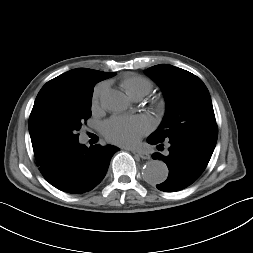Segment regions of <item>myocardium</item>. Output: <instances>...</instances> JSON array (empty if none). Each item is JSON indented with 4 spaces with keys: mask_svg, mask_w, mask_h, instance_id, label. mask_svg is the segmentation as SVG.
<instances>
[{
    "mask_svg": "<svg viewBox=\"0 0 253 253\" xmlns=\"http://www.w3.org/2000/svg\"><path fill=\"white\" fill-rule=\"evenodd\" d=\"M154 104L157 106V107H162L164 105V102L162 99H156L154 101Z\"/></svg>",
    "mask_w": 253,
    "mask_h": 253,
    "instance_id": "f54148a6",
    "label": "myocardium"
}]
</instances>
